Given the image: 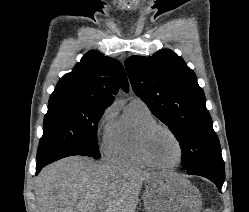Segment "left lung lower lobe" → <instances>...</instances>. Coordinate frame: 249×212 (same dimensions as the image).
<instances>
[{"label":"left lung lower lobe","instance_id":"obj_1","mask_svg":"<svg viewBox=\"0 0 249 212\" xmlns=\"http://www.w3.org/2000/svg\"><path fill=\"white\" fill-rule=\"evenodd\" d=\"M187 173L208 178L209 180H211L216 184L219 190H221L225 180V170H224L223 160L219 162H212L209 164H205Z\"/></svg>","mask_w":249,"mask_h":212}]
</instances>
